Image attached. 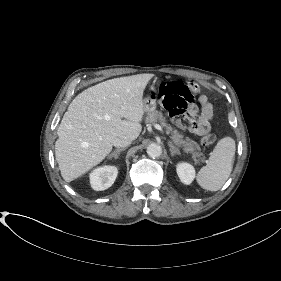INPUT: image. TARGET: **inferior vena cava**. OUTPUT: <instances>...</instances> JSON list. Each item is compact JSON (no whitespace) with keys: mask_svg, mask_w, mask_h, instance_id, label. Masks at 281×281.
<instances>
[{"mask_svg":"<svg viewBox=\"0 0 281 281\" xmlns=\"http://www.w3.org/2000/svg\"><path fill=\"white\" fill-rule=\"evenodd\" d=\"M132 140L127 136H120L114 139L113 145L118 148H124L131 144Z\"/></svg>","mask_w":281,"mask_h":281,"instance_id":"inferior-vena-cava-1","label":"inferior vena cava"}]
</instances>
